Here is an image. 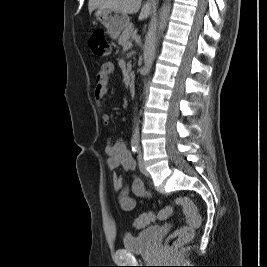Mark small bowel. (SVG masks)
<instances>
[{"label": "small bowel", "instance_id": "c3829d8e", "mask_svg": "<svg viewBox=\"0 0 267 267\" xmlns=\"http://www.w3.org/2000/svg\"><path fill=\"white\" fill-rule=\"evenodd\" d=\"M114 67L111 63H104L96 75V84L94 88V99L98 105H101L103 98L107 93V86ZM102 123L109 125L110 115L103 112L101 115ZM105 153L107 155V164L110 170L116 171L122 169L125 172L133 173L136 168V162L128 151L123 139H109ZM113 187L119 192V205L124 211H132L136 206V201L129 195L131 191L135 196L141 198H150L151 193L145 188L142 180L136 176L132 177L129 185L125 179L115 174L113 176Z\"/></svg>", "mask_w": 267, "mask_h": 267}]
</instances>
